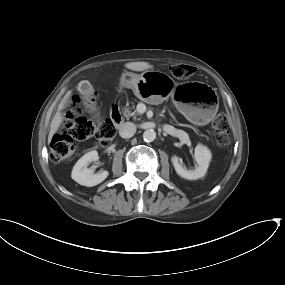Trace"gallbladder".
I'll use <instances>...</instances> for the list:
<instances>
[{
	"label": "gallbladder",
	"mask_w": 285,
	"mask_h": 285,
	"mask_svg": "<svg viewBox=\"0 0 285 285\" xmlns=\"http://www.w3.org/2000/svg\"><path fill=\"white\" fill-rule=\"evenodd\" d=\"M80 93L82 95L83 102L86 106V110L93 117L97 118L100 116L99 110L96 108L95 104L90 101V97L93 95V88L88 81H83L80 86Z\"/></svg>",
	"instance_id": "gallbladder-1"
}]
</instances>
